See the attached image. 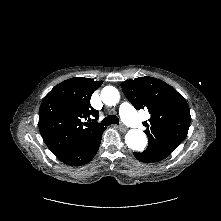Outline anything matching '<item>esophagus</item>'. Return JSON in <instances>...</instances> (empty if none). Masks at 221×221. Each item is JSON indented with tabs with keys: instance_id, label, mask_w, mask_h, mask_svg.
I'll use <instances>...</instances> for the list:
<instances>
[{
	"instance_id": "esophagus-1",
	"label": "esophagus",
	"mask_w": 221,
	"mask_h": 221,
	"mask_svg": "<svg viewBox=\"0 0 221 221\" xmlns=\"http://www.w3.org/2000/svg\"><path fill=\"white\" fill-rule=\"evenodd\" d=\"M118 128H119V130L122 131V132L127 131V127L124 126V125H119Z\"/></svg>"
}]
</instances>
